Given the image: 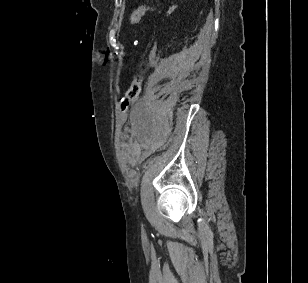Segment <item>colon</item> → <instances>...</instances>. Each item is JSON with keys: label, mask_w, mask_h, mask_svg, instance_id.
Segmentation results:
<instances>
[{"label": "colon", "mask_w": 308, "mask_h": 283, "mask_svg": "<svg viewBox=\"0 0 308 283\" xmlns=\"http://www.w3.org/2000/svg\"><path fill=\"white\" fill-rule=\"evenodd\" d=\"M150 9L149 6H141L138 9H136L130 16V25L134 26L136 25L143 15ZM142 77L138 76L136 77L132 83L130 84L129 88L125 92L122 100H121V109L126 110L131 103L137 100L139 97V94L141 92L142 88Z\"/></svg>", "instance_id": "1"}]
</instances>
